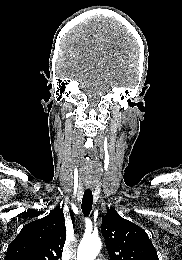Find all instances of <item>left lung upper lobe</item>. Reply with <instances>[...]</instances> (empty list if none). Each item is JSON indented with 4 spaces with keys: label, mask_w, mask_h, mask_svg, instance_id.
Listing matches in <instances>:
<instances>
[{
    "label": "left lung upper lobe",
    "mask_w": 182,
    "mask_h": 260,
    "mask_svg": "<svg viewBox=\"0 0 182 260\" xmlns=\"http://www.w3.org/2000/svg\"><path fill=\"white\" fill-rule=\"evenodd\" d=\"M101 233L110 260H159L147 233L138 225L119 216L112 207L103 216Z\"/></svg>",
    "instance_id": "obj_1"
}]
</instances>
